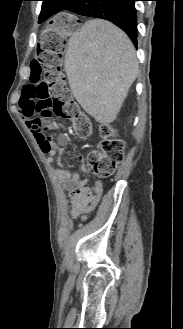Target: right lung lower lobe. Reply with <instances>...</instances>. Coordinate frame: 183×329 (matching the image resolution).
Listing matches in <instances>:
<instances>
[{
	"instance_id": "1",
	"label": "right lung lower lobe",
	"mask_w": 183,
	"mask_h": 329,
	"mask_svg": "<svg viewBox=\"0 0 183 329\" xmlns=\"http://www.w3.org/2000/svg\"><path fill=\"white\" fill-rule=\"evenodd\" d=\"M137 0H66L56 11L69 10L73 13L103 18L120 27L134 45H137V10L134 2Z\"/></svg>"
}]
</instances>
